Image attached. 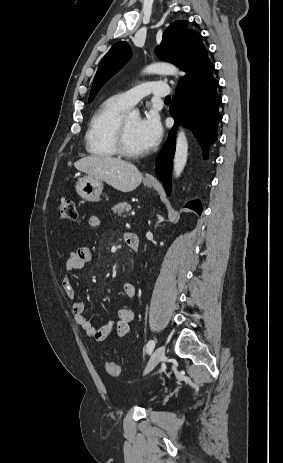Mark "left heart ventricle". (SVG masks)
Returning <instances> with one entry per match:
<instances>
[{
	"instance_id": "b2bd125f",
	"label": "left heart ventricle",
	"mask_w": 283,
	"mask_h": 463,
	"mask_svg": "<svg viewBox=\"0 0 283 463\" xmlns=\"http://www.w3.org/2000/svg\"><path fill=\"white\" fill-rule=\"evenodd\" d=\"M139 118L136 116H128L125 119L126 126V142L130 150L134 152H144L139 135H138Z\"/></svg>"
}]
</instances>
